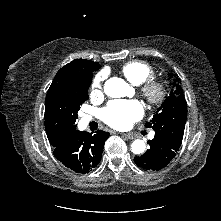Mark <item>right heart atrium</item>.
Segmentation results:
<instances>
[{
	"label": "right heart atrium",
	"instance_id": "1",
	"mask_svg": "<svg viewBox=\"0 0 221 221\" xmlns=\"http://www.w3.org/2000/svg\"><path fill=\"white\" fill-rule=\"evenodd\" d=\"M103 80L102 75H98L94 81V87H95V92L100 93L101 92V82Z\"/></svg>",
	"mask_w": 221,
	"mask_h": 221
}]
</instances>
